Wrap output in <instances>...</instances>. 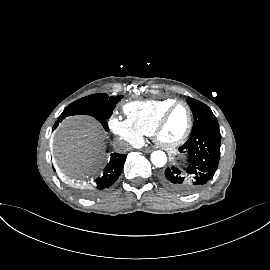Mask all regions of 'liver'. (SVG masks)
Instances as JSON below:
<instances>
[{
  "label": "liver",
  "mask_w": 270,
  "mask_h": 270,
  "mask_svg": "<svg viewBox=\"0 0 270 270\" xmlns=\"http://www.w3.org/2000/svg\"><path fill=\"white\" fill-rule=\"evenodd\" d=\"M104 134L89 116H72L64 120L53 139L55 162L63 169L82 172L93 168L102 158Z\"/></svg>",
  "instance_id": "6515ba94"
}]
</instances>
